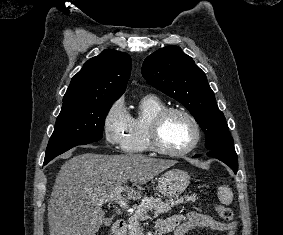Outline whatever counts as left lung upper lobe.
I'll use <instances>...</instances> for the list:
<instances>
[{"mask_svg":"<svg viewBox=\"0 0 283 235\" xmlns=\"http://www.w3.org/2000/svg\"><path fill=\"white\" fill-rule=\"evenodd\" d=\"M142 75L153 87L183 104L205 133L207 149H234L223 113L205 73L177 46L161 48L148 56Z\"/></svg>","mask_w":283,"mask_h":235,"instance_id":"5c2ea615","label":"left lung upper lobe"}]
</instances>
